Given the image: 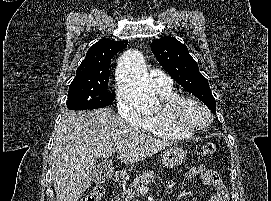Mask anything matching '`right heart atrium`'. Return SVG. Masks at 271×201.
Returning <instances> with one entry per match:
<instances>
[{"mask_svg":"<svg viewBox=\"0 0 271 201\" xmlns=\"http://www.w3.org/2000/svg\"><path fill=\"white\" fill-rule=\"evenodd\" d=\"M116 107L121 117L129 124L139 128L146 124L147 117L136 111L121 92L116 93Z\"/></svg>","mask_w":271,"mask_h":201,"instance_id":"1","label":"right heart atrium"}]
</instances>
